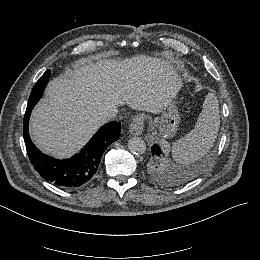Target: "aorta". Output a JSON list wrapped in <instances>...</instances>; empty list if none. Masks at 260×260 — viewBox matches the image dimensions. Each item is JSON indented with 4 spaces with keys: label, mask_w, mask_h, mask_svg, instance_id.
<instances>
[{
    "label": "aorta",
    "mask_w": 260,
    "mask_h": 260,
    "mask_svg": "<svg viewBox=\"0 0 260 260\" xmlns=\"http://www.w3.org/2000/svg\"><path fill=\"white\" fill-rule=\"evenodd\" d=\"M128 149L131 153L140 155L143 154L146 150V143L145 141L140 137H132L128 141Z\"/></svg>",
    "instance_id": "aorta-1"
}]
</instances>
